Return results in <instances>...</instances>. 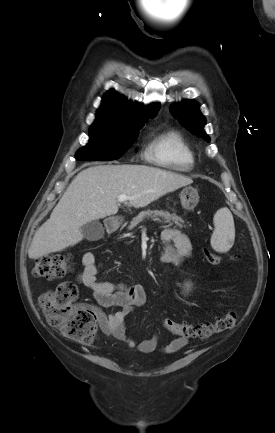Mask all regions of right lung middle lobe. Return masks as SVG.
<instances>
[{"instance_id":"right-lung-middle-lobe-1","label":"right lung middle lobe","mask_w":275,"mask_h":433,"mask_svg":"<svg viewBox=\"0 0 275 433\" xmlns=\"http://www.w3.org/2000/svg\"><path fill=\"white\" fill-rule=\"evenodd\" d=\"M143 126L144 122L94 123L90 127L89 143L76 152L75 158L81 161L116 160L129 149Z\"/></svg>"}]
</instances>
